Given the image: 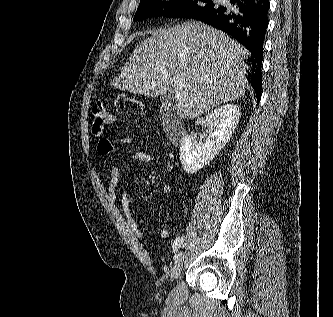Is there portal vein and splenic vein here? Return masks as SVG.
I'll return each mask as SVG.
<instances>
[{
  "label": "portal vein and splenic vein",
  "mask_w": 333,
  "mask_h": 317,
  "mask_svg": "<svg viewBox=\"0 0 333 317\" xmlns=\"http://www.w3.org/2000/svg\"><path fill=\"white\" fill-rule=\"evenodd\" d=\"M174 87H175V101L180 102L181 100H183L185 93L180 86H174Z\"/></svg>",
  "instance_id": "18ae733b"
}]
</instances>
